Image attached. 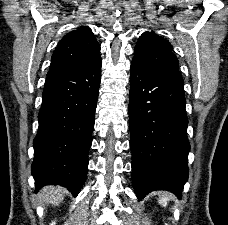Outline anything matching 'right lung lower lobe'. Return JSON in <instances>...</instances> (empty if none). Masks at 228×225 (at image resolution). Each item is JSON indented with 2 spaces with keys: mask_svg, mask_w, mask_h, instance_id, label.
Masks as SVG:
<instances>
[{
  "mask_svg": "<svg viewBox=\"0 0 228 225\" xmlns=\"http://www.w3.org/2000/svg\"><path fill=\"white\" fill-rule=\"evenodd\" d=\"M101 65L99 56L78 68L47 75L33 144L35 192L58 184L76 196L84 184Z\"/></svg>",
  "mask_w": 228,
  "mask_h": 225,
  "instance_id": "1",
  "label": "right lung lower lobe"
}]
</instances>
